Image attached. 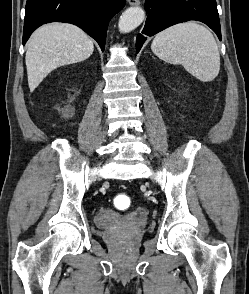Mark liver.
Wrapping results in <instances>:
<instances>
[{"label": "liver", "instance_id": "1", "mask_svg": "<svg viewBox=\"0 0 249 294\" xmlns=\"http://www.w3.org/2000/svg\"><path fill=\"white\" fill-rule=\"evenodd\" d=\"M93 50L92 40L75 25L52 23L40 27L32 34L25 57L30 91L54 69L84 61Z\"/></svg>", "mask_w": 249, "mask_h": 294}]
</instances>
